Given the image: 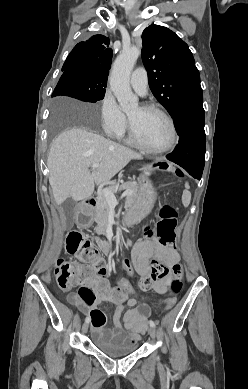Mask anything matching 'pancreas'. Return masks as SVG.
<instances>
[{
  "label": "pancreas",
  "instance_id": "obj_1",
  "mask_svg": "<svg viewBox=\"0 0 248 389\" xmlns=\"http://www.w3.org/2000/svg\"><path fill=\"white\" fill-rule=\"evenodd\" d=\"M141 185L137 182H126L119 184H114L109 187V189L116 193L117 191L125 190L131 192L130 195L126 198V207L128 209H131L138 197V194L141 190ZM110 206L104 197V195H101L98 201V205L96 207V214H95V221L97 223V227L95 228L97 234L99 235H105L106 234V227L108 224V214H109Z\"/></svg>",
  "mask_w": 248,
  "mask_h": 389
}]
</instances>
